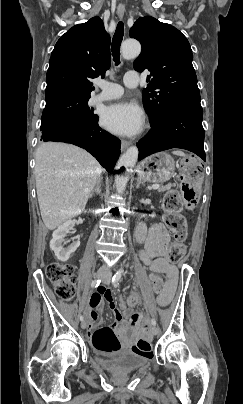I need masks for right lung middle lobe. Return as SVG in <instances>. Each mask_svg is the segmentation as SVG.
I'll use <instances>...</instances> for the list:
<instances>
[{
	"instance_id": "right-lung-middle-lobe-1",
	"label": "right lung middle lobe",
	"mask_w": 243,
	"mask_h": 404,
	"mask_svg": "<svg viewBox=\"0 0 243 404\" xmlns=\"http://www.w3.org/2000/svg\"><path fill=\"white\" fill-rule=\"evenodd\" d=\"M89 98L90 96L73 97L46 103L41 118L40 129H43L55 120L67 116L98 120V116L93 113L94 109L88 107Z\"/></svg>"
}]
</instances>
